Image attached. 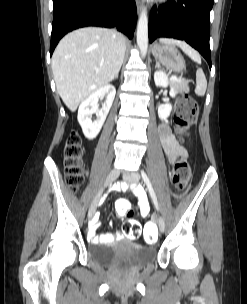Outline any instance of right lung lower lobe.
<instances>
[{
	"mask_svg": "<svg viewBox=\"0 0 247 304\" xmlns=\"http://www.w3.org/2000/svg\"><path fill=\"white\" fill-rule=\"evenodd\" d=\"M53 12L50 56L59 40L74 29L116 26L132 38L137 22L134 0H53Z\"/></svg>",
	"mask_w": 247,
	"mask_h": 304,
	"instance_id": "obj_1",
	"label": "right lung lower lobe"
}]
</instances>
